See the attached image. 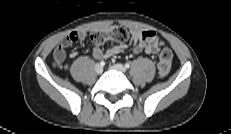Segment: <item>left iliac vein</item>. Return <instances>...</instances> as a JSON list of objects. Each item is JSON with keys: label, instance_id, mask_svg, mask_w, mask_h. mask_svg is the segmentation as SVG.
I'll list each match as a JSON object with an SVG mask.
<instances>
[{"label": "left iliac vein", "instance_id": "4c4485c4", "mask_svg": "<svg viewBox=\"0 0 231 134\" xmlns=\"http://www.w3.org/2000/svg\"><path fill=\"white\" fill-rule=\"evenodd\" d=\"M110 69L119 71L121 73H126V68L122 64H114L110 66Z\"/></svg>", "mask_w": 231, "mask_h": 134}]
</instances>
